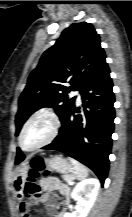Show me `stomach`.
Here are the masks:
<instances>
[{"label": "stomach", "instance_id": "0dacf381", "mask_svg": "<svg viewBox=\"0 0 132 217\" xmlns=\"http://www.w3.org/2000/svg\"><path fill=\"white\" fill-rule=\"evenodd\" d=\"M43 161L45 168L48 170L57 171L63 174H70L74 172L73 165L61 155H56L51 158H45ZM29 169L30 166L27 165L18 171L14 179L15 185L22 186L24 184L26 178L28 177Z\"/></svg>", "mask_w": 132, "mask_h": 217}]
</instances>
